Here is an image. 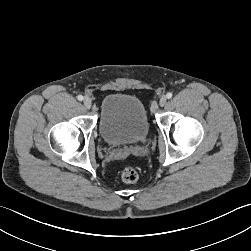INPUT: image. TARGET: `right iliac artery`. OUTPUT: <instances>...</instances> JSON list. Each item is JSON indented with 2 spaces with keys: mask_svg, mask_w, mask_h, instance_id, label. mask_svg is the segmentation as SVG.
Instances as JSON below:
<instances>
[{
  "mask_svg": "<svg viewBox=\"0 0 251 251\" xmlns=\"http://www.w3.org/2000/svg\"><path fill=\"white\" fill-rule=\"evenodd\" d=\"M77 99H78L79 101H82V100H83V96H82V95H78V96H77Z\"/></svg>",
  "mask_w": 251,
  "mask_h": 251,
  "instance_id": "obj_1",
  "label": "right iliac artery"
}]
</instances>
